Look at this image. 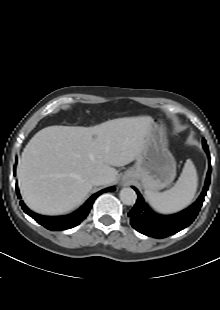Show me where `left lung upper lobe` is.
<instances>
[{
  "mask_svg": "<svg viewBox=\"0 0 220 310\" xmlns=\"http://www.w3.org/2000/svg\"><path fill=\"white\" fill-rule=\"evenodd\" d=\"M207 146L205 139H203V147Z\"/></svg>",
  "mask_w": 220,
  "mask_h": 310,
  "instance_id": "5c2ea615",
  "label": "left lung upper lobe"
}]
</instances>
